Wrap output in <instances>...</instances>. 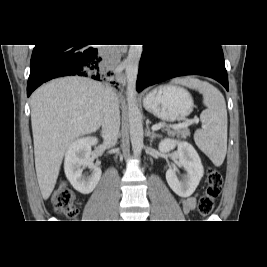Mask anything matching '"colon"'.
Instances as JSON below:
<instances>
[{"instance_id": "obj_1", "label": "colon", "mask_w": 267, "mask_h": 267, "mask_svg": "<svg viewBox=\"0 0 267 267\" xmlns=\"http://www.w3.org/2000/svg\"><path fill=\"white\" fill-rule=\"evenodd\" d=\"M223 176L215 168H209L206 173V188L198 202V212L202 216L209 215L214 208L215 201L223 188ZM52 203L56 213L69 219L78 216L79 210L73 190L67 182L58 185L52 196Z\"/></svg>"}]
</instances>
